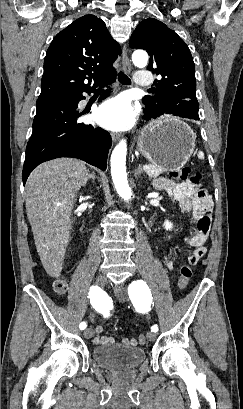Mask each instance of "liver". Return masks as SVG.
Listing matches in <instances>:
<instances>
[{"mask_svg": "<svg viewBox=\"0 0 243 409\" xmlns=\"http://www.w3.org/2000/svg\"><path fill=\"white\" fill-rule=\"evenodd\" d=\"M88 176L84 162L59 158L40 164L26 182L27 217L42 265L52 277H59L62 271L71 212Z\"/></svg>", "mask_w": 243, "mask_h": 409, "instance_id": "6515ba94", "label": "liver"}]
</instances>
